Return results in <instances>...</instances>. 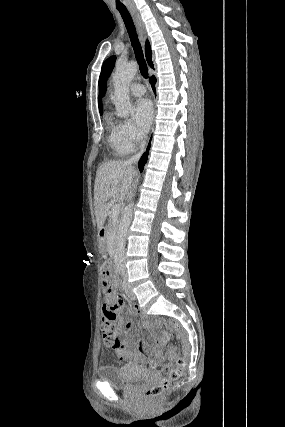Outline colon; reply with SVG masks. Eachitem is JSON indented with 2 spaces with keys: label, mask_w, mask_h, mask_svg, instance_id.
Returning a JSON list of instances; mask_svg holds the SVG:
<instances>
[{
  "label": "colon",
  "mask_w": 285,
  "mask_h": 427,
  "mask_svg": "<svg viewBox=\"0 0 285 427\" xmlns=\"http://www.w3.org/2000/svg\"><path fill=\"white\" fill-rule=\"evenodd\" d=\"M101 273L104 286V309L106 312L105 322L102 323V337L106 348H108L112 354L116 355L123 350V345L118 336V329L114 317V308L116 305L115 286L110 280V266L108 264L102 265ZM167 321L175 331L181 333V328L176 321L171 319ZM168 356L173 362L164 366V375L161 382L157 385H151L145 388V400L149 403H155L161 399L162 395L169 389L171 382L180 377L186 365V359L180 355V349L178 347L171 348ZM146 364L152 368L157 366L154 357H150Z\"/></svg>",
  "instance_id": "colon-1"
}]
</instances>
